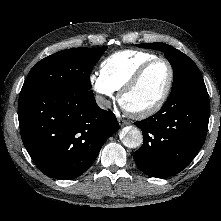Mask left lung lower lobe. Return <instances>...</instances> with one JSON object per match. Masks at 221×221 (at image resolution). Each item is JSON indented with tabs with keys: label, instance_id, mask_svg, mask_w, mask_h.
<instances>
[{
	"label": "left lung lower lobe",
	"instance_id": "1",
	"mask_svg": "<svg viewBox=\"0 0 221 221\" xmlns=\"http://www.w3.org/2000/svg\"><path fill=\"white\" fill-rule=\"evenodd\" d=\"M210 115L206 91L171 95L153 116L135 122L143 134V146L134 152L145 174L166 178L181 172L202 147Z\"/></svg>",
	"mask_w": 221,
	"mask_h": 221
}]
</instances>
